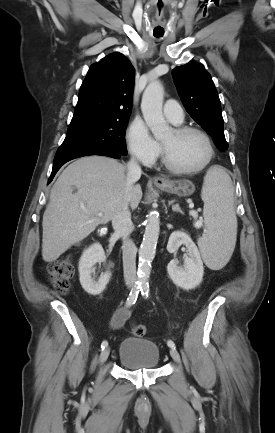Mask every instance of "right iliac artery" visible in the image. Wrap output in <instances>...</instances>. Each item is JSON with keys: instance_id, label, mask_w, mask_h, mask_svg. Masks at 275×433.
<instances>
[{"instance_id": "right-iliac-artery-1", "label": "right iliac artery", "mask_w": 275, "mask_h": 433, "mask_svg": "<svg viewBox=\"0 0 275 433\" xmlns=\"http://www.w3.org/2000/svg\"><path fill=\"white\" fill-rule=\"evenodd\" d=\"M140 289H141V286L138 285V286H135V287L131 290V292H130L128 298H127V301H126V307H129V306L135 304ZM107 346H108V342H107L106 340H104V341L101 343V348H102V350H103L104 348H106Z\"/></svg>"}]
</instances>
